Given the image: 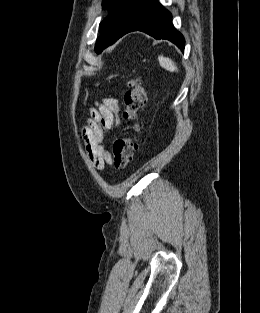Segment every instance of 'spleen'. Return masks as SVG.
I'll return each mask as SVG.
<instances>
[{
  "label": "spleen",
  "instance_id": "obj_1",
  "mask_svg": "<svg viewBox=\"0 0 260 313\" xmlns=\"http://www.w3.org/2000/svg\"><path fill=\"white\" fill-rule=\"evenodd\" d=\"M158 61L160 66L165 70L169 72H178L176 64L170 58L164 57L163 55H159Z\"/></svg>",
  "mask_w": 260,
  "mask_h": 313
}]
</instances>
